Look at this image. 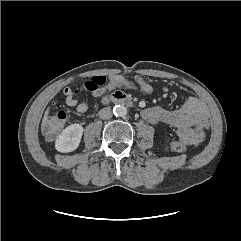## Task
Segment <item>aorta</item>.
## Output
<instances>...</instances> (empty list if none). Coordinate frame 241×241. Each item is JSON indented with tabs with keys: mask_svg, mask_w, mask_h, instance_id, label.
Masks as SVG:
<instances>
[{
	"mask_svg": "<svg viewBox=\"0 0 241 241\" xmlns=\"http://www.w3.org/2000/svg\"><path fill=\"white\" fill-rule=\"evenodd\" d=\"M113 113L115 116L124 117L127 114V108L123 105H116L113 108Z\"/></svg>",
	"mask_w": 241,
	"mask_h": 241,
	"instance_id": "762f6f07",
	"label": "aorta"
}]
</instances>
